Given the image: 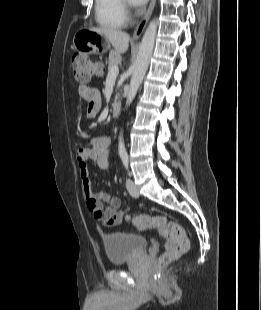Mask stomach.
I'll return each instance as SVG.
<instances>
[{"label":"stomach","mask_w":261,"mask_h":310,"mask_svg":"<svg viewBox=\"0 0 261 310\" xmlns=\"http://www.w3.org/2000/svg\"><path fill=\"white\" fill-rule=\"evenodd\" d=\"M74 48L80 51H91L103 54L110 48L109 40L100 33L90 30H80L73 38Z\"/></svg>","instance_id":"0dacf381"}]
</instances>
